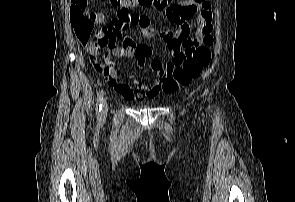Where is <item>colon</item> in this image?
Wrapping results in <instances>:
<instances>
[{
    "mask_svg": "<svg viewBox=\"0 0 295 202\" xmlns=\"http://www.w3.org/2000/svg\"><path fill=\"white\" fill-rule=\"evenodd\" d=\"M166 2V0H109V5L114 10L113 17L124 21V27H128L130 24L137 23V19L132 17L129 12L128 7L130 5L138 4L157 8L163 7ZM72 24L75 34L82 45L98 47L105 43V39L100 37V27L96 28L93 21L85 13L72 10ZM213 43V36L210 33H205L200 45L182 51L177 60L168 64L166 69L162 71L160 89L166 93H173L179 87L187 86L192 80L198 78L203 69L210 63V47ZM107 76L110 77V75Z\"/></svg>",
    "mask_w": 295,
    "mask_h": 202,
    "instance_id": "colon-1",
    "label": "colon"
}]
</instances>
